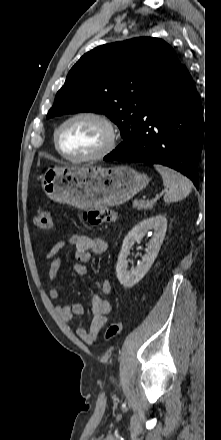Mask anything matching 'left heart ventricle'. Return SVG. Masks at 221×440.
Listing matches in <instances>:
<instances>
[{
    "instance_id": "1",
    "label": "left heart ventricle",
    "mask_w": 221,
    "mask_h": 440,
    "mask_svg": "<svg viewBox=\"0 0 221 440\" xmlns=\"http://www.w3.org/2000/svg\"><path fill=\"white\" fill-rule=\"evenodd\" d=\"M106 139L107 132L101 123L92 119H77L62 129L59 142L67 155L84 157L98 152Z\"/></svg>"
}]
</instances>
